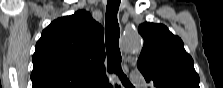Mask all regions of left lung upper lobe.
I'll return each mask as SVG.
<instances>
[{"instance_id":"1","label":"left lung upper lobe","mask_w":223,"mask_h":88,"mask_svg":"<svg viewBox=\"0 0 223 88\" xmlns=\"http://www.w3.org/2000/svg\"><path fill=\"white\" fill-rule=\"evenodd\" d=\"M144 46L137 67L155 88H200V78L182 40L162 24L145 22L138 28Z\"/></svg>"}]
</instances>
